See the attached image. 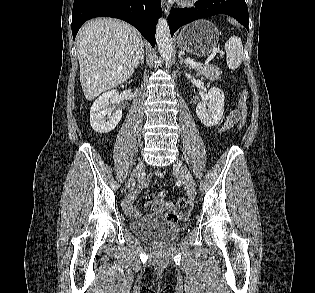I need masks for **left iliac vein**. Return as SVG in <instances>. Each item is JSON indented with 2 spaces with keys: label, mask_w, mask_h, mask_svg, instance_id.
Wrapping results in <instances>:
<instances>
[{
  "label": "left iliac vein",
  "mask_w": 315,
  "mask_h": 293,
  "mask_svg": "<svg viewBox=\"0 0 315 293\" xmlns=\"http://www.w3.org/2000/svg\"><path fill=\"white\" fill-rule=\"evenodd\" d=\"M173 170L175 173L178 174L179 178L185 185L187 191L189 194L195 193V183L193 180L192 175L188 171L187 167L183 164L181 160H176V162L173 164Z\"/></svg>",
  "instance_id": "obj_1"
}]
</instances>
